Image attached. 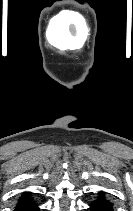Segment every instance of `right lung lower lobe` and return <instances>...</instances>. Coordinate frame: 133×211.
Segmentation results:
<instances>
[{
    "label": "right lung lower lobe",
    "mask_w": 133,
    "mask_h": 211,
    "mask_svg": "<svg viewBox=\"0 0 133 211\" xmlns=\"http://www.w3.org/2000/svg\"><path fill=\"white\" fill-rule=\"evenodd\" d=\"M15 211H39L38 205L31 201L27 203L17 204Z\"/></svg>",
    "instance_id": "98d812e1"
}]
</instances>
